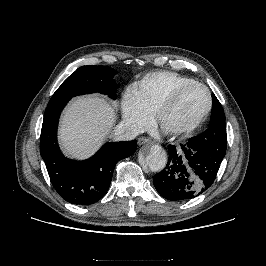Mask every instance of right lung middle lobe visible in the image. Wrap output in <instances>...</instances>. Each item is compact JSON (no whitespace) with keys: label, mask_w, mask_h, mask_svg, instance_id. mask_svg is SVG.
Instances as JSON below:
<instances>
[{"label":"right lung middle lobe","mask_w":266,"mask_h":266,"mask_svg":"<svg viewBox=\"0 0 266 266\" xmlns=\"http://www.w3.org/2000/svg\"><path fill=\"white\" fill-rule=\"evenodd\" d=\"M117 72L106 66H82L71 74L56 90L54 95L77 96L99 92L116 99Z\"/></svg>","instance_id":"obj_1"}]
</instances>
